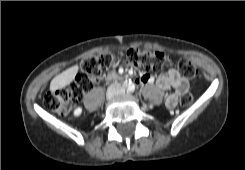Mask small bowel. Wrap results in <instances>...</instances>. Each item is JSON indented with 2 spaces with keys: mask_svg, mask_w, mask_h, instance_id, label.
<instances>
[{
  "mask_svg": "<svg viewBox=\"0 0 245 170\" xmlns=\"http://www.w3.org/2000/svg\"><path fill=\"white\" fill-rule=\"evenodd\" d=\"M109 76H112V73ZM139 82L143 84L155 83L160 90H171L166 97V107L168 109H173L178 104L181 95L189 89L188 80L183 78L175 68L169 69L157 78L144 74L140 77Z\"/></svg>",
  "mask_w": 245,
  "mask_h": 170,
  "instance_id": "small-bowel-1",
  "label": "small bowel"
}]
</instances>
